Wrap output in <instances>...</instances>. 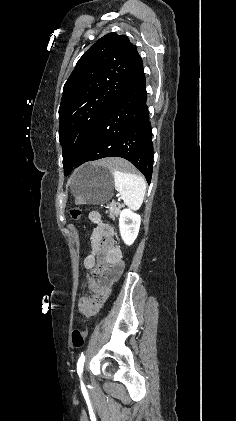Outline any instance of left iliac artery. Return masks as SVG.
<instances>
[{
    "label": "left iliac artery",
    "instance_id": "left-iliac-artery-1",
    "mask_svg": "<svg viewBox=\"0 0 236 421\" xmlns=\"http://www.w3.org/2000/svg\"><path fill=\"white\" fill-rule=\"evenodd\" d=\"M85 356L82 354L77 362V373L80 375L83 372Z\"/></svg>",
    "mask_w": 236,
    "mask_h": 421
}]
</instances>
